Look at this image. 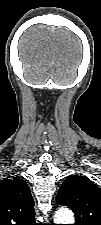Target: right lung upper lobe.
<instances>
[{"instance_id":"obj_1","label":"right lung upper lobe","mask_w":101,"mask_h":225,"mask_svg":"<svg viewBox=\"0 0 101 225\" xmlns=\"http://www.w3.org/2000/svg\"><path fill=\"white\" fill-rule=\"evenodd\" d=\"M0 225H36L34 200L24 180L0 182Z\"/></svg>"}]
</instances>
